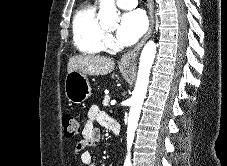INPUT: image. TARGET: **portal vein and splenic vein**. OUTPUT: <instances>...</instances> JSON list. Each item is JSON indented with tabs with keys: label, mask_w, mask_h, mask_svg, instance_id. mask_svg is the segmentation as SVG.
I'll return each mask as SVG.
<instances>
[{
	"label": "portal vein and splenic vein",
	"mask_w": 227,
	"mask_h": 166,
	"mask_svg": "<svg viewBox=\"0 0 227 166\" xmlns=\"http://www.w3.org/2000/svg\"><path fill=\"white\" fill-rule=\"evenodd\" d=\"M115 103H116L115 101H112V102H111V105H115Z\"/></svg>",
	"instance_id": "obj_1"
}]
</instances>
